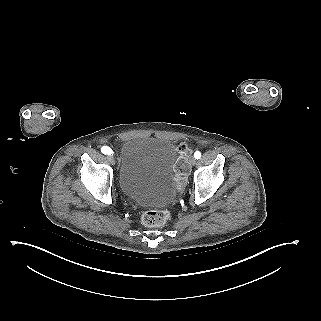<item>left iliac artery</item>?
I'll return each mask as SVG.
<instances>
[{"label":"left iliac artery","instance_id":"1","mask_svg":"<svg viewBox=\"0 0 321 321\" xmlns=\"http://www.w3.org/2000/svg\"><path fill=\"white\" fill-rule=\"evenodd\" d=\"M194 157H195L196 159H199V158L201 157V153H200L199 151H196V152L194 153Z\"/></svg>","mask_w":321,"mask_h":321}]
</instances>
